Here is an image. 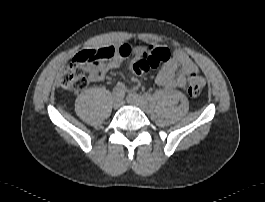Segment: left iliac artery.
Instances as JSON below:
<instances>
[{"instance_id": "44dca946", "label": "left iliac artery", "mask_w": 265, "mask_h": 202, "mask_svg": "<svg viewBox=\"0 0 265 202\" xmlns=\"http://www.w3.org/2000/svg\"><path fill=\"white\" fill-rule=\"evenodd\" d=\"M143 97H144L145 99H147V100H150V99H151V94L148 93V92H146V93L143 94Z\"/></svg>"}]
</instances>
